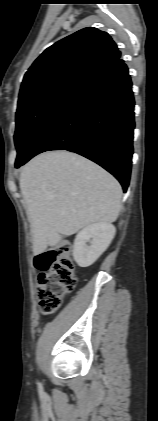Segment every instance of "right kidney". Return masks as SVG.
<instances>
[{
  "mask_svg": "<svg viewBox=\"0 0 158 421\" xmlns=\"http://www.w3.org/2000/svg\"><path fill=\"white\" fill-rule=\"evenodd\" d=\"M116 233L110 223H95L83 228L73 245V258L80 267L92 265L108 248Z\"/></svg>",
  "mask_w": 158,
  "mask_h": 421,
  "instance_id": "ca27d5eb",
  "label": "right kidney"
}]
</instances>
